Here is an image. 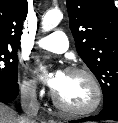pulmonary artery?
I'll list each match as a JSON object with an SVG mask.
<instances>
[{"instance_id": "obj_1", "label": "pulmonary artery", "mask_w": 118, "mask_h": 123, "mask_svg": "<svg viewBox=\"0 0 118 123\" xmlns=\"http://www.w3.org/2000/svg\"><path fill=\"white\" fill-rule=\"evenodd\" d=\"M37 45L51 52L63 53L68 49L69 43L66 34L57 30L50 35L40 38L37 41Z\"/></svg>"}]
</instances>
